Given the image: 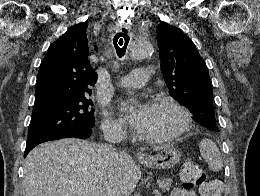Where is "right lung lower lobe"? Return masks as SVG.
Returning a JSON list of instances; mask_svg holds the SVG:
<instances>
[{
  "label": "right lung lower lobe",
  "instance_id": "obj_1",
  "mask_svg": "<svg viewBox=\"0 0 260 196\" xmlns=\"http://www.w3.org/2000/svg\"><path fill=\"white\" fill-rule=\"evenodd\" d=\"M91 133H92V129H87V130L77 131V132H74V133L65 135V136L60 137V138H58V139H61V138H69V137L80 138V139H86V138H88V137L91 135ZM33 148H34V147H26L24 157H26V155L29 153V151H30L31 149H33Z\"/></svg>",
  "mask_w": 260,
  "mask_h": 196
}]
</instances>
